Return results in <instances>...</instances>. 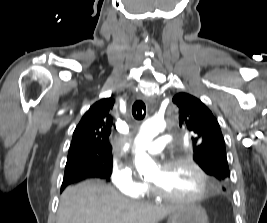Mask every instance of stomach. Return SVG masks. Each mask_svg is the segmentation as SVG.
Here are the masks:
<instances>
[{"label":"stomach","mask_w":267,"mask_h":223,"mask_svg":"<svg viewBox=\"0 0 267 223\" xmlns=\"http://www.w3.org/2000/svg\"><path fill=\"white\" fill-rule=\"evenodd\" d=\"M169 214L167 223H208L205 209L195 204H181Z\"/></svg>","instance_id":"obj_1"}]
</instances>
